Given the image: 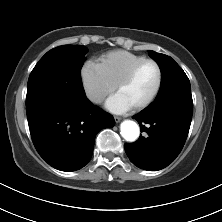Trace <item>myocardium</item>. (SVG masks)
Here are the masks:
<instances>
[{
	"mask_svg": "<svg viewBox=\"0 0 222 222\" xmlns=\"http://www.w3.org/2000/svg\"><path fill=\"white\" fill-rule=\"evenodd\" d=\"M149 63L153 64L155 66V68L157 69V73H158L157 84H156V87H155L153 93L150 95V97L147 100H145L141 104H138V105L133 107V109L135 111H141V110L146 109L157 98V96H158V94H159V92L161 90L162 83H163V72H162V69H161L160 65L155 60H153V59H144V60L136 63L133 67H131V69L115 84V90L117 91L121 87H123L126 84H128L133 79V77L135 76L137 71L143 65L149 64Z\"/></svg>",
	"mask_w": 222,
	"mask_h": 222,
	"instance_id": "1",
	"label": "myocardium"
}]
</instances>
